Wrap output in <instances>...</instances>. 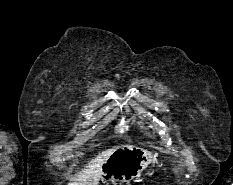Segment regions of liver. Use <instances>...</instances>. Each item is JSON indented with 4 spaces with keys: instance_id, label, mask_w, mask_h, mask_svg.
<instances>
[{
    "instance_id": "obj_1",
    "label": "liver",
    "mask_w": 233,
    "mask_h": 185,
    "mask_svg": "<svg viewBox=\"0 0 233 185\" xmlns=\"http://www.w3.org/2000/svg\"><path fill=\"white\" fill-rule=\"evenodd\" d=\"M117 148L115 146L98 154L84 169L70 177L68 185H96L102 174V165Z\"/></svg>"
}]
</instances>
